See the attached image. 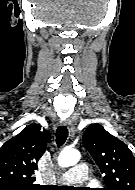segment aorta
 I'll list each match as a JSON object with an SVG mask.
<instances>
[{
	"instance_id": "obj_1",
	"label": "aorta",
	"mask_w": 135,
	"mask_h": 190,
	"mask_svg": "<svg viewBox=\"0 0 135 190\" xmlns=\"http://www.w3.org/2000/svg\"><path fill=\"white\" fill-rule=\"evenodd\" d=\"M81 155L75 149L65 148L61 151L58 157L60 167H70L79 162Z\"/></svg>"
}]
</instances>
